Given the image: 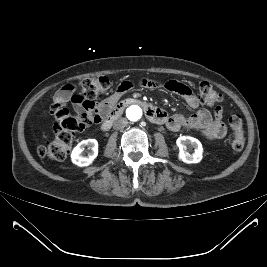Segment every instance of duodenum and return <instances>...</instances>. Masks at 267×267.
Masks as SVG:
<instances>
[{
    "label": "duodenum",
    "mask_w": 267,
    "mask_h": 267,
    "mask_svg": "<svg viewBox=\"0 0 267 267\" xmlns=\"http://www.w3.org/2000/svg\"><path fill=\"white\" fill-rule=\"evenodd\" d=\"M129 105L140 106L144 110L147 117L155 123H163V121H164V116L159 109H155L152 105H150L144 101L129 98V99H126V100L120 102L119 104H117L116 106L113 107V109L109 112V114L104 119V121L101 125V129L103 131L109 130L111 128L112 124L114 123V121L121 116L124 109L126 107H128Z\"/></svg>",
    "instance_id": "duodenum-1"
}]
</instances>
